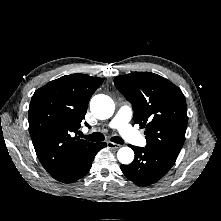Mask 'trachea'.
Listing matches in <instances>:
<instances>
[{
  "instance_id": "obj_1",
  "label": "trachea",
  "mask_w": 221,
  "mask_h": 221,
  "mask_svg": "<svg viewBox=\"0 0 221 221\" xmlns=\"http://www.w3.org/2000/svg\"><path fill=\"white\" fill-rule=\"evenodd\" d=\"M86 139L93 141V142H100L104 140V135L100 132H95L91 135H86L84 136ZM112 142L117 143V144H123L124 141L122 138H120L119 136H114L111 137L110 139Z\"/></svg>"
}]
</instances>
